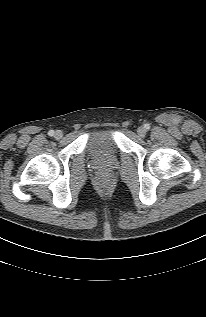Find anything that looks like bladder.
Here are the masks:
<instances>
[{
  "mask_svg": "<svg viewBox=\"0 0 206 317\" xmlns=\"http://www.w3.org/2000/svg\"><path fill=\"white\" fill-rule=\"evenodd\" d=\"M117 152L116 137L112 129H95L88 137L86 155L90 157H105Z\"/></svg>",
  "mask_w": 206,
  "mask_h": 317,
  "instance_id": "1",
  "label": "bladder"
}]
</instances>
